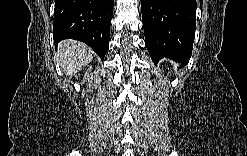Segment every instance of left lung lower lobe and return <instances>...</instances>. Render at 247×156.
Instances as JSON below:
<instances>
[{"mask_svg":"<svg viewBox=\"0 0 247 156\" xmlns=\"http://www.w3.org/2000/svg\"><path fill=\"white\" fill-rule=\"evenodd\" d=\"M145 45L157 63L167 57L186 64L196 28V0H141Z\"/></svg>","mask_w":247,"mask_h":156,"instance_id":"1","label":"left lung lower lobe"}]
</instances>
